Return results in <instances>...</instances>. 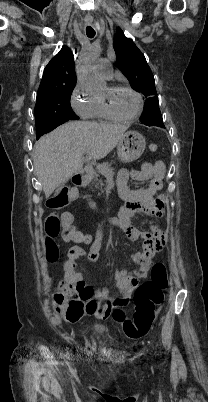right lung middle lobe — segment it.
<instances>
[{"label":"right lung middle lobe","mask_w":208,"mask_h":402,"mask_svg":"<svg viewBox=\"0 0 208 402\" xmlns=\"http://www.w3.org/2000/svg\"><path fill=\"white\" fill-rule=\"evenodd\" d=\"M74 87L75 85L63 86L38 95L35 106L36 123L49 118H55L63 122L79 119L72 111L70 105V98ZM41 133L37 130V139L40 138Z\"/></svg>","instance_id":"1"}]
</instances>
